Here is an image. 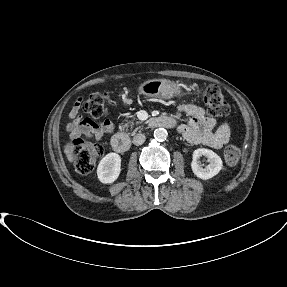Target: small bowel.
I'll return each mask as SVG.
<instances>
[{
    "mask_svg": "<svg viewBox=\"0 0 287 287\" xmlns=\"http://www.w3.org/2000/svg\"><path fill=\"white\" fill-rule=\"evenodd\" d=\"M178 110L189 116V121L179 127V132L192 144H202L214 149L223 147L230 138V127L223 122L216 127L214 119L207 116L205 110L192 103H181ZM80 106H75L69 112L67 131L73 136L85 135L102 139L105 134H111L115 125L111 121L97 123L79 115Z\"/></svg>",
    "mask_w": 287,
    "mask_h": 287,
    "instance_id": "obj_1",
    "label": "small bowel"
}]
</instances>
